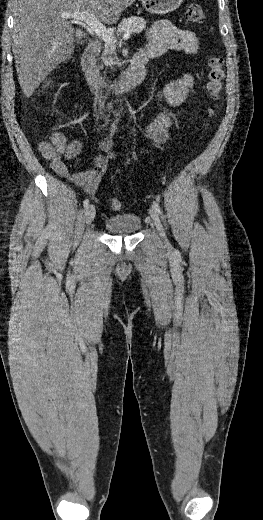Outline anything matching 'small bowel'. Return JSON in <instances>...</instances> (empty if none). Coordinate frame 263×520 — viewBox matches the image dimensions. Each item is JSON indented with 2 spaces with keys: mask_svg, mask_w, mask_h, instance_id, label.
<instances>
[{
  "mask_svg": "<svg viewBox=\"0 0 263 520\" xmlns=\"http://www.w3.org/2000/svg\"><path fill=\"white\" fill-rule=\"evenodd\" d=\"M147 38L148 42L142 51L150 57L160 56L168 50L184 51L191 55L198 52L196 35L192 31L180 29L166 20L157 21L149 30ZM192 85V76L185 74L182 78L164 86L159 91V96L170 105L176 106L184 101ZM172 125V117L169 114L160 113L140 130L146 138L158 146L167 141ZM51 141L55 148V155L51 162L52 169L58 175L82 188L86 194L93 195L114 156L110 149V140L103 138L100 142V147L105 152L104 155L96 157L88 169L72 175L68 173L65 161L72 160L79 154L82 148L81 142L79 140L68 142L60 132L54 133Z\"/></svg>",
  "mask_w": 263,
  "mask_h": 520,
  "instance_id": "small-bowel-1",
  "label": "small bowel"
}]
</instances>
